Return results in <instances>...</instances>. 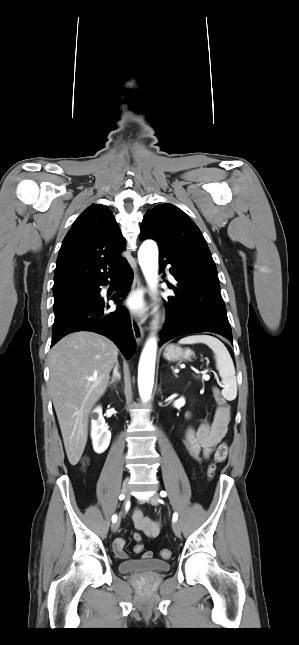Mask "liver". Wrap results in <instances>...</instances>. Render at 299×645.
Returning a JSON list of instances; mask_svg holds the SVG:
<instances>
[{
    "instance_id": "1",
    "label": "liver",
    "mask_w": 299,
    "mask_h": 645,
    "mask_svg": "<svg viewBox=\"0 0 299 645\" xmlns=\"http://www.w3.org/2000/svg\"><path fill=\"white\" fill-rule=\"evenodd\" d=\"M117 358L112 341L86 331L66 336L50 351L49 391L73 466L85 449L91 409L105 393Z\"/></svg>"
}]
</instances>
